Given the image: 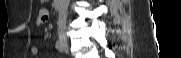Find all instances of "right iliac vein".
<instances>
[{
    "mask_svg": "<svg viewBox=\"0 0 181 58\" xmlns=\"http://www.w3.org/2000/svg\"><path fill=\"white\" fill-rule=\"evenodd\" d=\"M62 42H63L64 46H66V47L68 46L67 40L65 38H62Z\"/></svg>",
    "mask_w": 181,
    "mask_h": 58,
    "instance_id": "63e3f726",
    "label": "right iliac vein"
}]
</instances>
